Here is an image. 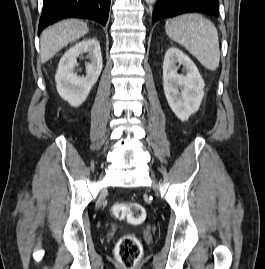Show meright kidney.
<instances>
[{"instance_id": "1", "label": "right kidney", "mask_w": 265, "mask_h": 269, "mask_svg": "<svg viewBox=\"0 0 265 269\" xmlns=\"http://www.w3.org/2000/svg\"><path fill=\"white\" fill-rule=\"evenodd\" d=\"M88 53L90 63H86V76L80 77L74 72L76 58ZM100 44L96 39H86L76 43L61 58L55 75L56 87L62 99L71 106H80L87 98L102 70Z\"/></svg>"}]
</instances>
